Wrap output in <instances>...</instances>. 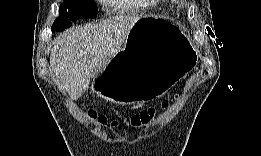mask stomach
<instances>
[{
    "instance_id": "stomach-1",
    "label": "stomach",
    "mask_w": 261,
    "mask_h": 156,
    "mask_svg": "<svg viewBox=\"0 0 261 156\" xmlns=\"http://www.w3.org/2000/svg\"><path fill=\"white\" fill-rule=\"evenodd\" d=\"M158 39L166 40L170 56H156L139 68L119 67L122 60ZM115 56L111 59L112 63L117 60L115 71L104 70V74L95 77L92 90L97 96L122 105L143 104L161 97L193 68L197 60L181 27L151 17L142 18L134 25Z\"/></svg>"
}]
</instances>
